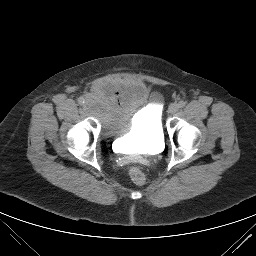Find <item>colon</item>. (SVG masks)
<instances>
[{"label": "colon", "mask_w": 256, "mask_h": 256, "mask_svg": "<svg viewBox=\"0 0 256 256\" xmlns=\"http://www.w3.org/2000/svg\"><path fill=\"white\" fill-rule=\"evenodd\" d=\"M129 176L131 180L138 185H142L145 183V180H146L145 174L140 168L136 166H133L129 169Z\"/></svg>", "instance_id": "1"}]
</instances>
